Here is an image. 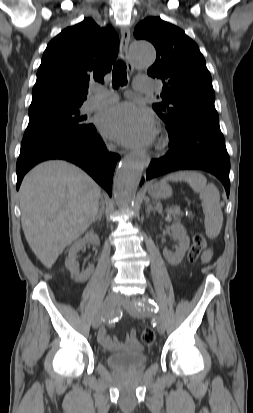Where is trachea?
<instances>
[{
  "instance_id": "1",
  "label": "trachea",
  "mask_w": 253,
  "mask_h": 413,
  "mask_svg": "<svg viewBox=\"0 0 253 413\" xmlns=\"http://www.w3.org/2000/svg\"><path fill=\"white\" fill-rule=\"evenodd\" d=\"M112 78V84L115 89H117L119 86H124L127 84L126 65L123 61L118 60L114 64Z\"/></svg>"
}]
</instances>
